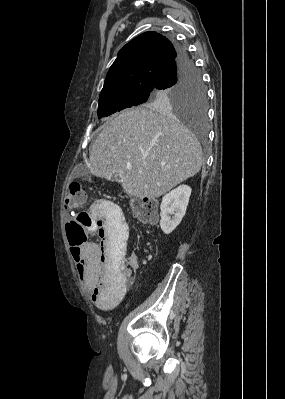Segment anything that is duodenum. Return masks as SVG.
Returning <instances> with one entry per match:
<instances>
[{
  "mask_svg": "<svg viewBox=\"0 0 285 399\" xmlns=\"http://www.w3.org/2000/svg\"><path fill=\"white\" fill-rule=\"evenodd\" d=\"M107 213H108L107 211L104 212V214H103V215H104V218L107 217Z\"/></svg>",
  "mask_w": 285,
  "mask_h": 399,
  "instance_id": "410a0bca",
  "label": "duodenum"
}]
</instances>
